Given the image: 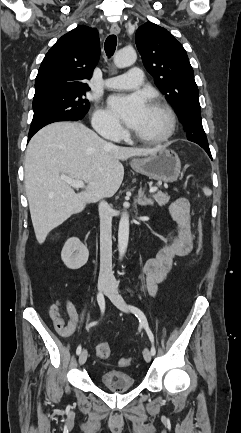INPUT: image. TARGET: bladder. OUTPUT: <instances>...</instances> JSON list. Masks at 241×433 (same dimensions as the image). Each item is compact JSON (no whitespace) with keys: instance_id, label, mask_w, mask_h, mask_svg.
<instances>
[{"instance_id":"31cf9c89","label":"bladder","mask_w":241,"mask_h":433,"mask_svg":"<svg viewBox=\"0 0 241 433\" xmlns=\"http://www.w3.org/2000/svg\"><path fill=\"white\" fill-rule=\"evenodd\" d=\"M104 388L112 392L127 391L135 387L134 378L126 372L107 371L100 376Z\"/></svg>"}]
</instances>
